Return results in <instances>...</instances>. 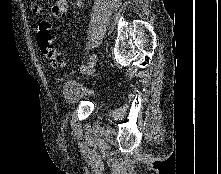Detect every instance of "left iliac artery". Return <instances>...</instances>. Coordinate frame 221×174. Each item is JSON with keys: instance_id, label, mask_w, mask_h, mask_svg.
Wrapping results in <instances>:
<instances>
[{"instance_id": "44dca946", "label": "left iliac artery", "mask_w": 221, "mask_h": 174, "mask_svg": "<svg viewBox=\"0 0 221 174\" xmlns=\"http://www.w3.org/2000/svg\"><path fill=\"white\" fill-rule=\"evenodd\" d=\"M80 71H81V72H84V73H90V72L88 71L87 67H84V66H82V67L80 68Z\"/></svg>"}]
</instances>
